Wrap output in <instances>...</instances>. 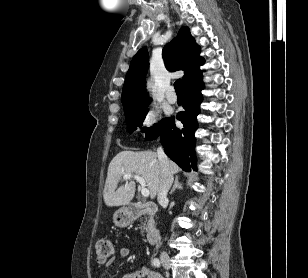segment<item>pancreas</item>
<instances>
[{
    "label": "pancreas",
    "instance_id": "1",
    "mask_svg": "<svg viewBox=\"0 0 308 278\" xmlns=\"http://www.w3.org/2000/svg\"><path fill=\"white\" fill-rule=\"evenodd\" d=\"M146 221H147V224H146V223H144V224L141 226V229H142V230H146V231H147V230H148V228H149V225H148V224H149L150 220H146Z\"/></svg>",
    "mask_w": 308,
    "mask_h": 278
}]
</instances>
